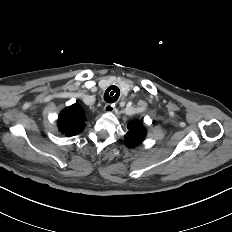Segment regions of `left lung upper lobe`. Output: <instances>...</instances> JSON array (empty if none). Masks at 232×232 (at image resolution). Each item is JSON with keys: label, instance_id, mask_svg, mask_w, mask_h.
I'll return each instance as SVG.
<instances>
[{"label": "left lung upper lobe", "instance_id": "left-lung-upper-lobe-1", "mask_svg": "<svg viewBox=\"0 0 232 232\" xmlns=\"http://www.w3.org/2000/svg\"><path fill=\"white\" fill-rule=\"evenodd\" d=\"M127 128L128 132L125 135V140L128 147L133 148L145 139L146 130L141 122H130Z\"/></svg>", "mask_w": 232, "mask_h": 232}]
</instances>
